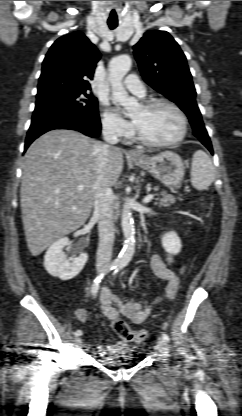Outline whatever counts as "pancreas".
<instances>
[{
  "instance_id": "obj_1",
  "label": "pancreas",
  "mask_w": 242,
  "mask_h": 416,
  "mask_svg": "<svg viewBox=\"0 0 242 416\" xmlns=\"http://www.w3.org/2000/svg\"><path fill=\"white\" fill-rule=\"evenodd\" d=\"M161 196H162L161 198L156 199L157 202L154 203L155 205H158L159 207H168L171 204L175 203L174 196L166 194L165 192H163ZM179 200L181 199L179 198Z\"/></svg>"
}]
</instances>
